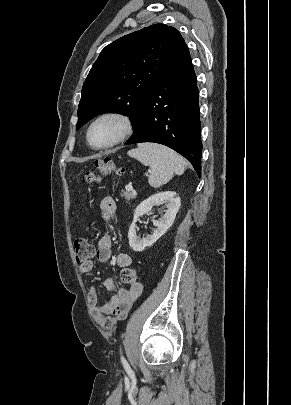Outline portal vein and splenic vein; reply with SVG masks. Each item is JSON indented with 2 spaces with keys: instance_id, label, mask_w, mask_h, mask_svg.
<instances>
[{
  "instance_id": "portal-vein-and-splenic-vein-1",
  "label": "portal vein and splenic vein",
  "mask_w": 291,
  "mask_h": 405,
  "mask_svg": "<svg viewBox=\"0 0 291 405\" xmlns=\"http://www.w3.org/2000/svg\"><path fill=\"white\" fill-rule=\"evenodd\" d=\"M125 189H126L127 191H132V192L135 193V191H134L132 185H126V186H125Z\"/></svg>"
}]
</instances>
